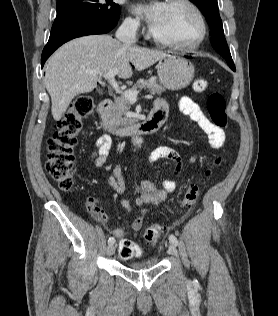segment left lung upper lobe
<instances>
[{
    "instance_id": "obj_1",
    "label": "left lung upper lobe",
    "mask_w": 278,
    "mask_h": 316,
    "mask_svg": "<svg viewBox=\"0 0 278 316\" xmlns=\"http://www.w3.org/2000/svg\"><path fill=\"white\" fill-rule=\"evenodd\" d=\"M194 4L198 6V8L202 11L204 16L206 17V20L209 24V27L211 29V42L216 51L219 52L220 55H222L229 67L235 71V66L230 54V50L228 48L224 31H223V25L222 21L219 15V9H218V3L217 0H191Z\"/></svg>"
}]
</instances>
